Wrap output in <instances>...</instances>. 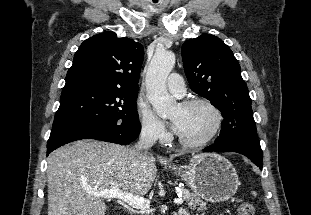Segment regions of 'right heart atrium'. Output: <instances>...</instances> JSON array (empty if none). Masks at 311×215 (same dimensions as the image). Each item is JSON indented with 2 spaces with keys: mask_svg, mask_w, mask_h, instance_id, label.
Here are the masks:
<instances>
[{
  "mask_svg": "<svg viewBox=\"0 0 311 215\" xmlns=\"http://www.w3.org/2000/svg\"><path fill=\"white\" fill-rule=\"evenodd\" d=\"M136 115L140 125L141 133L153 141H164L168 138V133L161 120L153 113L147 102L138 99L136 102Z\"/></svg>",
  "mask_w": 311,
  "mask_h": 215,
  "instance_id": "right-heart-atrium-1",
  "label": "right heart atrium"
}]
</instances>
